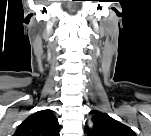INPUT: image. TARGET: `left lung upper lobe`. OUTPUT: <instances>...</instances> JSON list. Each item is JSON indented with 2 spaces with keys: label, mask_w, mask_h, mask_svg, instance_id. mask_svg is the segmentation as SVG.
<instances>
[{
  "label": "left lung upper lobe",
  "mask_w": 151,
  "mask_h": 136,
  "mask_svg": "<svg viewBox=\"0 0 151 136\" xmlns=\"http://www.w3.org/2000/svg\"><path fill=\"white\" fill-rule=\"evenodd\" d=\"M93 128H87L88 135L93 136H135L133 130L113 119L107 114L97 113L92 117Z\"/></svg>",
  "instance_id": "1"
}]
</instances>
